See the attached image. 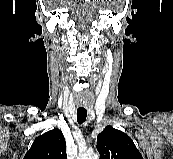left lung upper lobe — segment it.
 <instances>
[{
    "instance_id": "1",
    "label": "left lung upper lobe",
    "mask_w": 173,
    "mask_h": 159,
    "mask_svg": "<svg viewBox=\"0 0 173 159\" xmlns=\"http://www.w3.org/2000/svg\"><path fill=\"white\" fill-rule=\"evenodd\" d=\"M100 159H143L132 139L112 126H106L97 137Z\"/></svg>"
}]
</instances>
